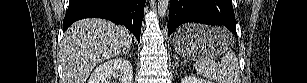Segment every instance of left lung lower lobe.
Here are the masks:
<instances>
[{"mask_svg": "<svg viewBox=\"0 0 307 83\" xmlns=\"http://www.w3.org/2000/svg\"><path fill=\"white\" fill-rule=\"evenodd\" d=\"M186 22L224 25L236 35V20L231 0H171L168 35Z\"/></svg>", "mask_w": 307, "mask_h": 83, "instance_id": "0a47b994", "label": "left lung lower lobe"}]
</instances>
